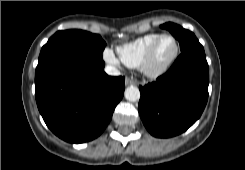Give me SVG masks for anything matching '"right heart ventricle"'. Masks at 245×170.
I'll list each match as a JSON object with an SVG mask.
<instances>
[{
	"label": "right heart ventricle",
	"mask_w": 245,
	"mask_h": 170,
	"mask_svg": "<svg viewBox=\"0 0 245 170\" xmlns=\"http://www.w3.org/2000/svg\"><path fill=\"white\" fill-rule=\"evenodd\" d=\"M158 34H147L117 47L120 60L128 67H139L140 62Z\"/></svg>",
	"instance_id": "obj_1"
}]
</instances>
